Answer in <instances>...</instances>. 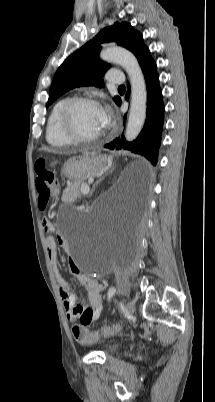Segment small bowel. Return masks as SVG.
<instances>
[{
  "instance_id": "small-bowel-1",
  "label": "small bowel",
  "mask_w": 215,
  "mask_h": 402,
  "mask_svg": "<svg viewBox=\"0 0 215 402\" xmlns=\"http://www.w3.org/2000/svg\"><path fill=\"white\" fill-rule=\"evenodd\" d=\"M43 227L47 232L52 233L56 231L52 222H50L49 227L46 228L44 224ZM58 245L65 250L68 248V243L62 234L57 232L56 238L52 236L46 238L48 256L55 274L58 291L66 312V316L71 322L80 321L83 324H89L90 322L97 320L102 314L103 285L94 278L82 274L79 268L72 262L70 264V271L85 288L88 297V305L78 302L76 296L71 292L66 278L59 269L57 256ZM88 310L91 311V314L86 321H83Z\"/></svg>"
}]
</instances>
